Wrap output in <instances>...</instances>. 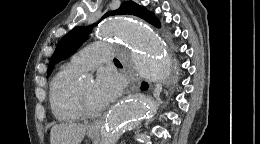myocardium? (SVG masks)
<instances>
[{
  "label": "myocardium",
  "mask_w": 260,
  "mask_h": 144,
  "mask_svg": "<svg viewBox=\"0 0 260 144\" xmlns=\"http://www.w3.org/2000/svg\"><path fill=\"white\" fill-rule=\"evenodd\" d=\"M75 105L78 108L81 115L85 117L94 118L99 116L102 112L101 109H93L88 105L83 94L82 83L80 82L78 83L76 88Z\"/></svg>",
  "instance_id": "f54148a6"
}]
</instances>
